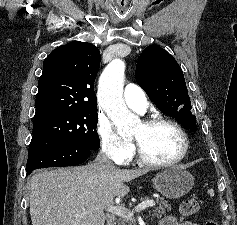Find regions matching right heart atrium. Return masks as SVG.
Listing matches in <instances>:
<instances>
[{
  "instance_id": "1",
  "label": "right heart atrium",
  "mask_w": 237,
  "mask_h": 225,
  "mask_svg": "<svg viewBox=\"0 0 237 225\" xmlns=\"http://www.w3.org/2000/svg\"><path fill=\"white\" fill-rule=\"evenodd\" d=\"M96 133L102 152L116 164H126L132 159L131 143L119 136L111 122L106 118H99Z\"/></svg>"
}]
</instances>
